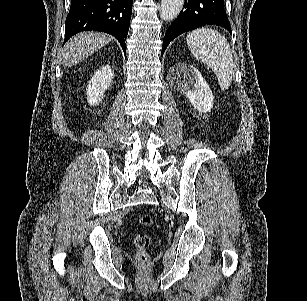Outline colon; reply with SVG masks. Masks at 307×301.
Returning <instances> with one entry per match:
<instances>
[{
    "label": "colon",
    "instance_id": "colon-1",
    "mask_svg": "<svg viewBox=\"0 0 307 301\" xmlns=\"http://www.w3.org/2000/svg\"><path fill=\"white\" fill-rule=\"evenodd\" d=\"M139 222L144 227H151L153 225V217L150 214H144L140 217ZM135 246L137 248V260L141 264H145L148 259V248L151 243L149 235L140 233L135 237Z\"/></svg>",
    "mask_w": 307,
    "mask_h": 301
}]
</instances>
